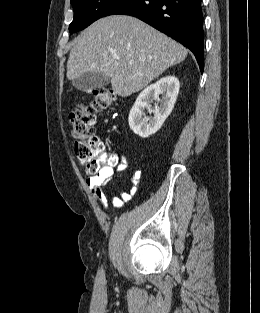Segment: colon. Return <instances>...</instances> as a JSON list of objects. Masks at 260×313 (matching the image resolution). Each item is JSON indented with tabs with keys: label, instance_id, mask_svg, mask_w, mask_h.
Wrapping results in <instances>:
<instances>
[{
	"label": "colon",
	"instance_id": "colon-1",
	"mask_svg": "<svg viewBox=\"0 0 260 313\" xmlns=\"http://www.w3.org/2000/svg\"><path fill=\"white\" fill-rule=\"evenodd\" d=\"M89 95V102L78 105L70 113V123L72 135L77 139L75 155L91 173L97 174L112 164V158L106 155L104 144L95 134L96 115L114 104L116 94L109 88H93Z\"/></svg>",
	"mask_w": 260,
	"mask_h": 313
}]
</instances>
